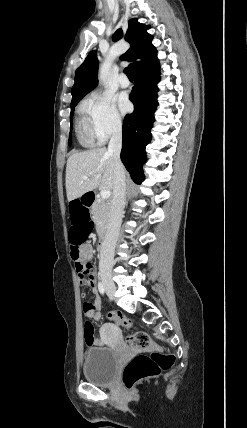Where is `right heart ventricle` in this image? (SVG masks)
I'll use <instances>...</instances> for the list:
<instances>
[{"label":"right heart ventricle","mask_w":247,"mask_h":428,"mask_svg":"<svg viewBox=\"0 0 247 428\" xmlns=\"http://www.w3.org/2000/svg\"><path fill=\"white\" fill-rule=\"evenodd\" d=\"M76 134L79 143L84 147L95 145V134L89 114L88 104H83L76 118Z\"/></svg>","instance_id":"e07e8e85"}]
</instances>
